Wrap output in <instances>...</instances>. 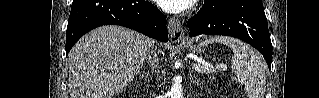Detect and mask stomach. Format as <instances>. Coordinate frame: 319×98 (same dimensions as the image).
<instances>
[{
  "label": "stomach",
  "instance_id": "1",
  "mask_svg": "<svg viewBox=\"0 0 319 98\" xmlns=\"http://www.w3.org/2000/svg\"><path fill=\"white\" fill-rule=\"evenodd\" d=\"M181 44L185 47H188L193 52H197L201 50V47L195 45L193 40H184Z\"/></svg>",
  "mask_w": 319,
  "mask_h": 98
}]
</instances>
